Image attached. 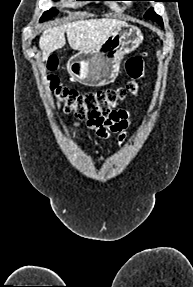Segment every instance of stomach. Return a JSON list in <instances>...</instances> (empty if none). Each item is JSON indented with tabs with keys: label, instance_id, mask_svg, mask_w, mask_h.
Listing matches in <instances>:
<instances>
[{
	"label": "stomach",
	"instance_id": "stomach-1",
	"mask_svg": "<svg viewBox=\"0 0 193 287\" xmlns=\"http://www.w3.org/2000/svg\"><path fill=\"white\" fill-rule=\"evenodd\" d=\"M143 41L141 30L133 25H123L94 50L79 51L67 64L75 82L87 86H103L115 81L123 57L135 51Z\"/></svg>",
	"mask_w": 193,
	"mask_h": 287
}]
</instances>
